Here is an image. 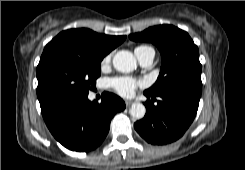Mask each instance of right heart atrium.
<instances>
[{"mask_svg": "<svg viewBox=\"0 0 245 170\" xmlns=\"http://www.w3.org/2000/svg\"><path fill=\"white\" fill-rule=\"evenodd\" d=\"M110 60H111V56H110V55H107V56H105V57L103 58L102 64H103V65H106V64H108V63L110 62Z\"/></svg>", "mask_w": 245, "mask_h": 170, "instance_id": "right-heart-atrium-1", "label": "right heart atrium"}]
</instances>
